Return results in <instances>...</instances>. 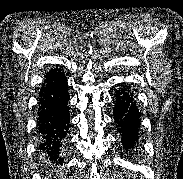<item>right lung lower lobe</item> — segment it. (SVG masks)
<instances>
[{
  "instance_id": "obj_1",
  "label": "right lung lower lobe",
  "mask_w": 183,
  "mask_h": 179,
  "mask_svg": "<svg viewBox=\"0 0 183 179\" xmlns=\"http://www.w3.org/2000/svg\"><path fill=\"white\" fill-rule=\"evenodd\" d=\"M70 97L67 79L60 69L49 70L39 92L37 133L39 151L51 161L60 164L62 148L69 129Z\"/></svg>"
}]
</instances>
